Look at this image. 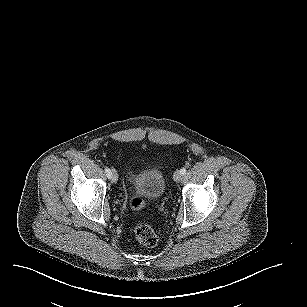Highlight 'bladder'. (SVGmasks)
<instances>
[{"instance_id":"31cf9c89","label":"bladder","mask_w":307,"mask_h":307,"mask_svg":"<svg viewBox=\"0 0 307 307\" xmlns=\"http://www.w3.org/2000/svg\"><path fill=\"white\" fill-rule=\"evenodd\" d=\"M135 189L142 192L146 200H155L163 195L165 190V175L156 168L150 172L139 173L134 180Z\"/></svg>"}]
</instances>
